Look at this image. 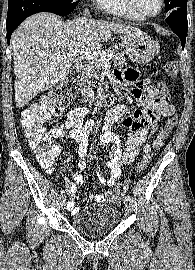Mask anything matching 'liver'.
Instances as JSON below:
<instances>
[{"mask_svg": "<svg viewBox=\"0 0 195 270\" xmlns=\"http://www.w3.org/2000/svg\"><path fill=\"white\" fill-rule=\"evenodd\" d=\"M139 29L122 23L77 18L62 20L51 13L27 18L12 34L16 106L65 80L81 51H99L112 34Z\"/></svg>", "mask_w": 195, "mask_h": 270, "instance_id": "1", "label": "liver"}]
</instances>
